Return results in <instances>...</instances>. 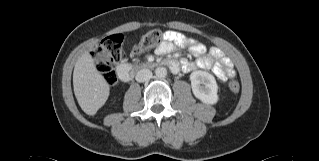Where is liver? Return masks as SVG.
I'll return each instance as SVG.
<instances>
[{"label":"liver","instance_id":"obj_1","mask_svg":"<svg viewBox=\"0 0 319 161\" xmlns=\"http://www.w3.org/2000/svg\"><path fill=\"white\" fill-rule=\"evenodd\" d=\"M89 51L77 60L73 71V87L81 109L94 115L109 97V84L97 70Z\"/></svg>","mask_w":319,"mask_h":161}]
</instances>
